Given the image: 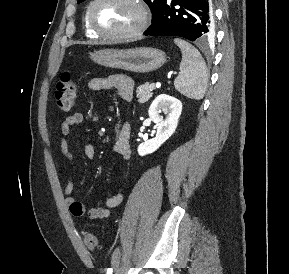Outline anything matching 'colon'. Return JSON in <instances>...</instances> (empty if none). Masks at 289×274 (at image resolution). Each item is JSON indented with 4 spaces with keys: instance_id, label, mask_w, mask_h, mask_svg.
<instances>
[{
    "instance_id": "colon-1",
    "label": "colon",
    "mask_w": 289,
    "mask_h": 274,
    "mask_svg": "<svg viewBox=\"0 0 289 274\" xmlns=\"http://www.w3.org/2000/svg\"><path fill=\"white\" fill-rule=\"evenodd\" d=\"M76 94L77 86L73 76L69 71H66L61 75L55 90V101L58 108L64 112L69 111L74 105ZM84 243L90 251L99 249L98 240L92 233L84 234Z\"/></svg>"
}]
</instances>
